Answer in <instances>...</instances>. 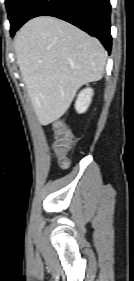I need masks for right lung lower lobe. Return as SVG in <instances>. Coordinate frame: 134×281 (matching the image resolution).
<instances>
[{"label":"right lung lower lobe","mask_w":134,"mask_h":281,"mask_svg":"<svg viewBox=\"0 0 134 281\" xmlns=\"http://www.w3.org/2000/svg\"><path fill=\"white\" fill-rule=\"evenodd\" d=\"M110 14V0H29L16 30L34 17L54 16L97 37L110 53Z\"/></svg>","instance_id":"1"}]
</instances>
